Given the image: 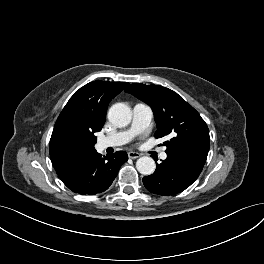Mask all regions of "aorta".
<instances>
[{
    "label": "aorta",
    "instance_id": "aorta-1",
    "mask_svg": "<svg viewBox=\"0 0 264 264\" xmlns=\"http://www.w3.org/2000/svg\"><path fill=\"white\" fill-rule=\"evenodd\" d=\"M108 119L118 127H124L131 122V109L124 103H116L108 111ZM136 168L143 175L154 173L156 164L153 158L149 156L140 157L136 162Z\"/></svg>",
    "mask_w": 264,
    "mask_h": 264
}]
</instances>
